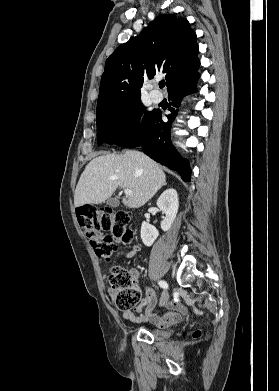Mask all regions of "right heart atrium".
<instances>
[{
	"label": "right heart atrium",
	"instance_id": "1",
	"mask_svg": "<svg viewBox=\"0 0 279 391\" xmlns=\"http://www.w3.org/2000/svg\"><path fill=\"white\" fill-rule=\"evenodd\" d=\"M130 123H131V120H130V119H127V120H125V122H124L125 125H129Z\"/></svg>",
	"mask_w": 279,
	"mask_h": 391
}]
</instances>
